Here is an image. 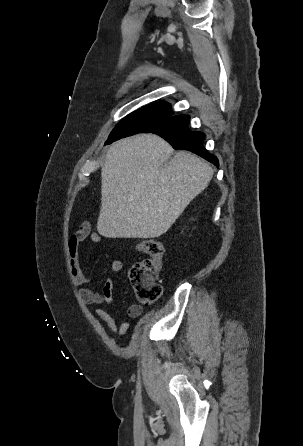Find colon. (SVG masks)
Wrapping results in <instances>:
<instances>
[{
	"mask_svg": "<svg viewBox=\"0 0 303 446\" xmlns=\"http://www.w3.org/2000/svg\"><path fill=\"white\" fill-rule=\"evenodd\" d=\"M136 250L149 256L136 263L129 272L133 292L140 303L152 304L162 295V287L156 282L164 257V246L155 239H143Z\"/></svg>",
	"mask_w": 303,
	"mask_h": 446,
	"instance_id": "colon-1",
	"label": "colon"
}]
</instances>
